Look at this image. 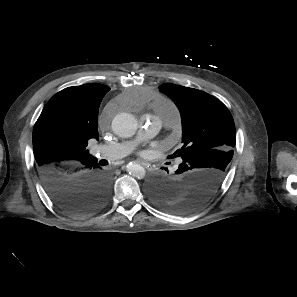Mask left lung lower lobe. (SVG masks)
<instances>
[{
  "mask_svg": "<svg viewBox=\"0 0 297 297\" xmlns=\"http://www.w3.org/2000/svg\"><path fill=\"white\" fill-rule=\"evenodd\" d=\"M181 166L179 165L173 177L154 178L148 186V192L152 201L159 199L160 202H154L158 207L166 211L186 214L198 210L207 199H211L220 188L221 180L219 176L210 172L188 173L189 170ZM175 195H181V200L168 203V199Z\"/></svg>",
  "mask_w": 297,
  "mask_h": 297,
  "instance_id": "left-lung-lower-lobe-1",
  "label": "left lung lower lobe"
}]
</instances>
